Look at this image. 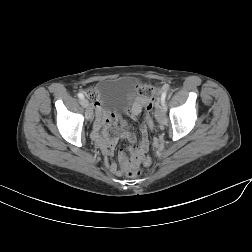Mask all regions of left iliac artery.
I'll use <instances>...</instances> for the list:
<instances>
[{
	"mask_svg": "<svg viewBox=\"0 0 252 252\" xmlns=\"http://www.w3.org/2000/svg\"><path fill=\"white\" fill-rule=\"evenodd\" d=\"M166 96H167V91H164L161 95V103L163 105H165V99H166Z\"/></svg>",
	"mask_w": 252,
	"mask_h": 252,
	"instance_id": "1",
	"label": "left iliac artery"
}]
</instances>
